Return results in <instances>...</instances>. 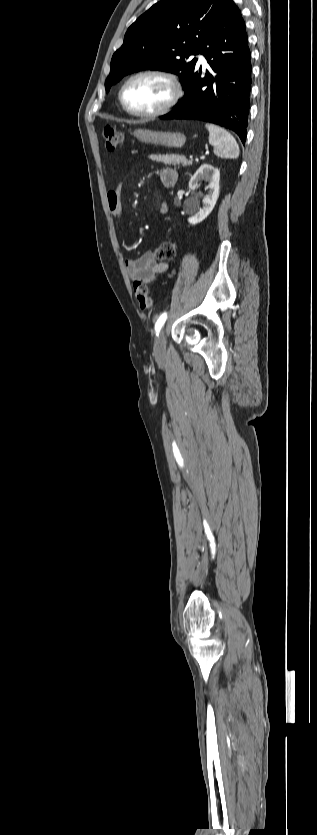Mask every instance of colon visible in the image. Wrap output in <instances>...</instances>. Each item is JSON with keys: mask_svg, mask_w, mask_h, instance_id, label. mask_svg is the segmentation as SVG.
Listing matches in <instances>:
<instances>
[{"mask_svg": "<svg viewBox=\"0 0 317 835\" xmlns=\"http://www.w3.org/2000/svg\"><path fill=\"white\" fill-rule=\"evenodd\" d=\"M105 144L108 150H115L123 141V135L112 126H107L103 132ZM178 252V245L173 240L162 243L153 253L155 258L160 260L173 259ZM136 299L142 309H149L152 306V299L148 295V288L141 281L133 282Z\"/></svg>", "mask_w": 317, "mask_h": 835, "instance_id": "1", "label": "colon"}]
</instances>
